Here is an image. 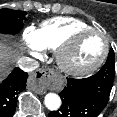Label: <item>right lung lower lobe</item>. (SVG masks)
<instances>
[{
	"mask_svg": "<svg viewBox=\"0 0 117 117\" xmlns=\"http://www.w3.org/2000/svg\"><path fill=\"white\" fill-rule=\"evenodd\" d=\"M28 74L19 68L0 84V117H12L17 102V94L26 88Z\"/></svg>",
	"mask_w": 117,
	"mask_h": 117,
	"instance_id": "obj_1",
	"label": "right lung lower lobe"
}]
</instances>
